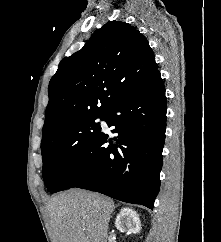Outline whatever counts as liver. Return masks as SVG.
<instances>
[{
	"instance_id": "liver-1",
	"label": "liver",
	"mask_w": 221,
	"mask_h": 242,
	"mask_svg": "<svg viewBox=\"0 0 221 242\" xmlns=\"http://www.w3.org/2000/svg\"><path fill=\"white\" fill-rule=\"evenodd\" d=\"M114 202L96 193L71 189L47 203L52 242H106Z\"/></svg>"
}]
</instances>
